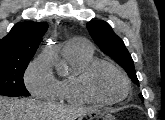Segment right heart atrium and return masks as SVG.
<instances>
[{"instance_id":"d8ad5b80","label":"right heart atrium","mask_w":165,"mask_h":120,"mask_svg":"<svg viewBox=\"0 0 165 120\" xmlns=\"http://www.w3.org/2000/svg\"><path fill=\"white\" fill-rule=\"evenodd\" d=\"M25 84L36 97L54 99L58 91V80L54 77L49 60L44 54L36 57L25 73Z\"/></svg>"}]
</instances>
